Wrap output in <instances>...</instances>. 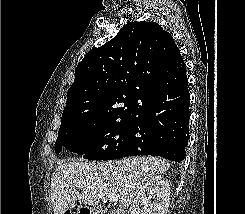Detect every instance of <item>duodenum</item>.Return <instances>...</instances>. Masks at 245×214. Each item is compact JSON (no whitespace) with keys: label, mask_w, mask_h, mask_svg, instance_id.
<instances>
[{"label":"duodenum","mask_w":245,"mask_h":214,"mask_svg":"<svg viewBox=\"0 0 245 214\" xmlns=\"http://www.w3.org/2000/svg\"><path fill=\"white\" fill-rule=\"evenodd\" d=\"M84 214H107V211L105 210V208H102V207H93V208L87 209L86 213Z\"/></svg>","instance_id":"410a0bca"}]
</instances>
